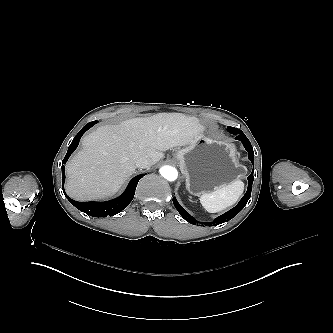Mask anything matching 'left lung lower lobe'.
Here are the masks:
<instances>
[{
	"instance_id": "left-lung-lower-lobe-1",
	"label": "left lung lower lobe",
	"mask_w": 333,
	"mask_h": 333,
	"mask_svg": "<svg viewBox=\"0 0 333 333\" xmlns=\"http://www.w3.org/2000/svg\"><path fill=\"white\" fill-rule=\"evenodd\" d=\"M228 131L231 134L237 135L235 139L239 140L242 142V144L244 145L245 149L248 151V158L249 160L254 163V152H253V148L252 145L250 144V141L248 140V138L245 136V134L237 128L234 127H228ZM253 171L252 173L248 176V188H247V192L246 194L242 197V199L240 200V202L231 210H229L228 212L224 213L223 215L217 217L214 221L212 222H206V223H201L202 225L205 226H217L221 223L227 222L229 220H231L235 215H237L247 204L248 200L250 199L251 196V190H252V184H253ZM173 203L175 208L178 210V212L180 213V215L187 220L189 223L191 224H197L198 221L195 220L189 213H187L181 206L180 204L177 202L176 198H173Z\"/></svg>"
}]
</instances>
